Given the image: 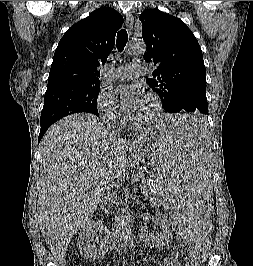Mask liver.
<instances>
[{
    "instance_id": "6515ba94",
    "label": "liver",
    "mask_w": 253,
    "mask_h": 266,
    "mask_svg": "<svg viewBox=\"0 0 253 266\" xmlns=\"http://www.w3.org/2000/svg\"><path fill=\"white\" fill-rule=\"evenodd\" d=\"M145 138L129 143L111 137L89 114L67 116L47 131L41 141L38 220L58 261L97 210L102 189L124 171L128 149Z\"/></svg>"
}]
</instances>
